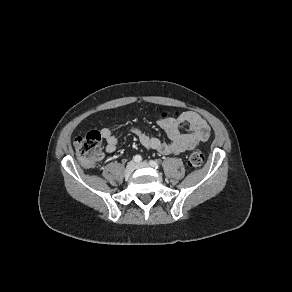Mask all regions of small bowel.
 <instances>
[{
	"label": "small bowel",
	"instance_id": "c3829d8e",
	"mask_svg": "<svg viewBox=\"0 0 292 292\" xmlns=\"http://www.w3.org/2000/svg\"><path fill=\"white\" fill-rule=\"evenodd\" d=\"M156 123L166 132L169 138L168 142L149 136L135 126L131 128V131L136 135L144 148L155 150L163 155H177L192 150L199 144L207 141L210 137L208 123L193 111L178 113L175 116H169L163 113L157 117ZM185 124L188 125L189 131L183 133L180 131V127ZM100 133L106 141V152H115L118 138L112 133L111 129L103 127Z\"/></svg>",
	"mask_w": 292,
	"mask_h": 292
}]
</instances>
